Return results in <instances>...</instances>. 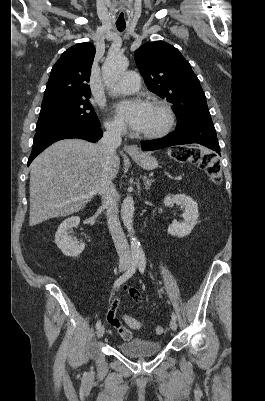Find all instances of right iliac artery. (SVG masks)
I'll use <instances>...</instances> for the list:
<instances>
[{
  "label": "right iliac artery",
  "mask_w": 265,
  "mask_h": 401,
  "mask_svg": "<svg viewBox=\"0 0 265 401\" xmlns=\"http://www.w3.org/2000/svg\"><path fill=\"white\" fill-rule=\"evenodd\" d=\"M137 265H138V257L135 256L132 258V262L129 269L114 282L113 287L114 288L119 287L121 284L126 282L135 273ZM100 326H101V320H98L96 323V328L98 329Z\"/></svg>",
  "instance_id": "obj_1"
}]
</instances>
